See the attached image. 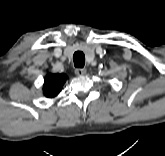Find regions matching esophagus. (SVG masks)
I'll use <instances>...</instances> for the list:
<instances>
[{"mask_svg":"<svg viewBox=\"0 0 165 156\" xmlns=\"http://www.w3.org/2000/svg\"><path fill=\"white\" fill-rule=\"evenodd\" d=\"M75 74L77 76H83V75L86 74V69H84V68H76L75 69Z\"/></svg>","mask_w":165,"mask_h":156,"instance_id":"34e87169","label":"esophagus"}]
</instances>
